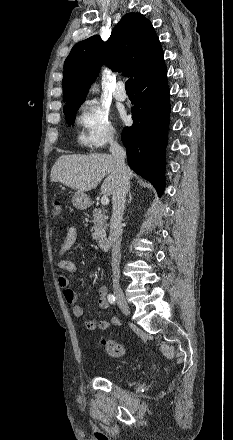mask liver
Instances as JSON below:
<instances>
[{
    "label": "liver",
    "instance_id": "6515ba94",
    "mask_svg": "<svg viewBox=\"0 0 233 440\" xmlns=\"http://www.w3.org/2000/svg\"><path fill=\"white\" fill-rule=\"evenodd\" d=\"M126 169L129 179L132 178L133 171L129 167ZM106 175L108 176L101 185V192L111 195L118 176L116 161L112 155H62L53 165L50 179L78 192H86L96 188Z\"/></svg>",
    "mask_w": 233,
    "mask_h": 440
}]
</instances>
